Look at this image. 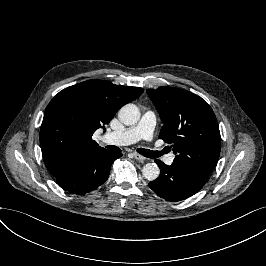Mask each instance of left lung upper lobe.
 Instances as JSON below:
<instances>
[{
	"label": "left lung upper lobe",
	"mask_w": 266,
	"mask_h": 266,
	"mask_svg": "<svg viewBox=\"0 0 266 266\" xmlns=\"http://www.w3.org/2000/svg\"><path fill=\"white\" fill-rule=\"evenodd\" d=\"M164 125L159 138L173 144L174 162L208 174L219 159L221 138L211 107L201 97L173 87L147 89Z\"/></svg>",
	"instance_id": "5c2ea615"
}]
</instances>
